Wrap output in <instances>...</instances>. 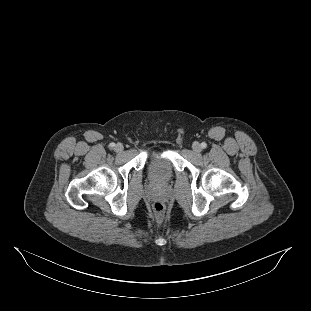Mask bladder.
<instances>
[{
	"label": "bladder",
	"mask_w": 311,
	"mask_h": 311,
	"mask_svg": "<svg viewBox=\"0 0 311 311\" xmlns=\"http://www.w3.org/2000/svg\"><path fill=\"white\" fill-rule=\"evenodd\" d=\"M148 172L154 182H167L173 173L172 162L169 156L161 152L153 156L149 163Z\"/></svg>",
	"instance_id": "1"
}]
</instances>
